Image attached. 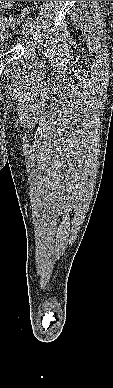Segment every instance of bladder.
<instances>
[{
  "label": "bladder",
  "mask_w": 113,
  "mask_h": 388,
  "mask_svg": "<svg viewBox=\"0 0 113 388\" xmlns=\"http://www.w3.org/2000/svg\"><path fill=\"white\" fill-rule=\"evenodd\" d=\"M7 27H8V25L5 24L4 21H3L2 24L0 23V54H3L7 50L6 45L3 43L4 38L6 37V34L4 33V30Z\"/></svg>",
  "instance_id": "31cf9c89"
}]
</instances>
